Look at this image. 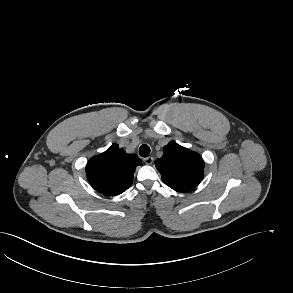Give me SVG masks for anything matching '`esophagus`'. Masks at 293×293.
<instances>
[{
  "label": "esophagus",
  "mask_w": 293,
  "mask_h": 293,
  "mask_svg": "<svg viewBox=\"0 0 293 293\" xmlns=\"http://www.w3.org/2000/svg\"><path fill=\"white\" fill-rule=\"evenodd\" d=\"M144 163L147 165H151L153 163V157H146L143 159Z\"/></svg>",
  "instance_id": "esophagus-1"
}]
</instances>
